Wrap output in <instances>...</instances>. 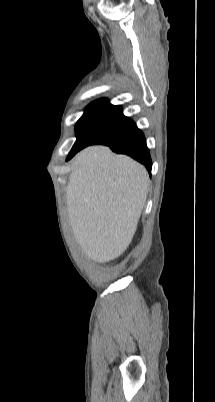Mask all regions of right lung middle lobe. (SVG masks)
Listing matches in <instances>:
<instances>
[{
	"instance_id": "dd1d6c3e",
	"label": "right lung middle lobe",
	"mask_w": 215,
	"mask_h": 402,
	"mask_svg": "<svg viewBox=\"0 0 215 402\" xmlns=\"http://www.w3.org/2000/svg\"><path fill=\"white\" fill-rule=\"evenodd\" d=\"M135 123L122 113V108L105 98L92 102L76 123L77 140L72 148L81 145L106 144L120 138Z\"/></svg>"
}]
</instances>
